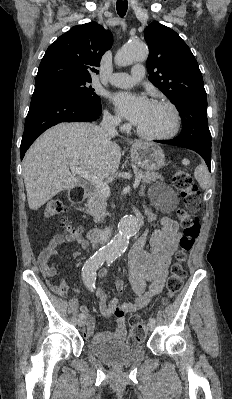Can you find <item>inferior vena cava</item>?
Listing matches in <instances>:
<instances>
[{"mask_svg":"<svg viewBox=\"0 0 232 399\" xmlns=\"http://www.w3.org/2000/svg\"><path fill=\"white\" fill-rule=\"evenodd\" d=\"M119 124L120 120H114V118H112V116H109V114H104L103 120L100 124V128L101 130H103V132H105V134H107V136H110V138H112V136H116L117 134L116 126H119ZM110 233H111L110 227H105V231L101 233L100 237L101 243L107 241Z\"/></svg>","mask_w":232,"mask_h":399,"instance_id":"1","label":"inferior vena cava"}]
</instances>
